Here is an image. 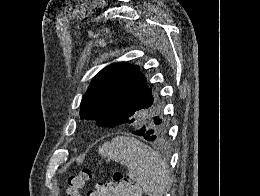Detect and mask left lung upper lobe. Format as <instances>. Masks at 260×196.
Listing matches in <instances>:
<instances>
[{
  "instance_id": "obj_1",
  "label": "left lung upper lobe",
  "mask_w": 260,
  "mask_h": 196,
  "mask_svg": "<svg viewBox=\"0 0 260 196\" xmlns=\"http://www.w3.org/2000/svg\"><path fill=\"white\" fill-rule=\"evenodd\" d=\"M111 106L134 108L132 117L123 124L131 130L149 125L154 137L152 141H167L169 124L161 97L148 88L146 78L138 66L117 63L101 70L82 98L80 116L82 119H93L97 122Z\"/></svg>"
}]
</instances>
